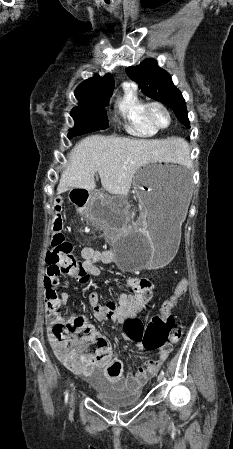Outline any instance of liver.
<instances>
[{
	"label": "liver",
	"mask_w": 233,
	"mask_h": 449,
	"mask_svg": "<svg viewBox=\"0 0 233 449\" xmlns=\"http://www.w3.org/2000/svg\"><path fill=\"white\" fill-rule=\"evenodd\" d=\"M162 140L93 135L82 139L68 155L57 192L70 189L91 191L98 172L103 188L110 194L128 195L139 168L149 163L169 162L185 150L177 133H165Z\"/></svg>",
	"instance_id": "6515ba94"
}]
</instances>
